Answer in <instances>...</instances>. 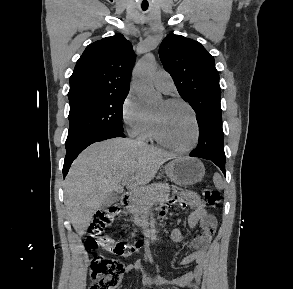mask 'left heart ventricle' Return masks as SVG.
Masks as SVG:
<instances>
[{
	"instance_id": "left-heart-ventricle-1",
	"label": "left heart ventricle",
	"mask_w": 293,
	"mask_h": 289,
	"mask_svg": "<svg viewBox=\"0 0 293 289\" xmlns=\"http://www.w3.org/2000/svg\"><path fill=\"white\" fill-rule=\"evenodd\" d=\"M152 116L158 123L162 137L177 147H186L194 139V122L190 111L183 105L163 101Z\"/></svg>"
}]
</instances>
